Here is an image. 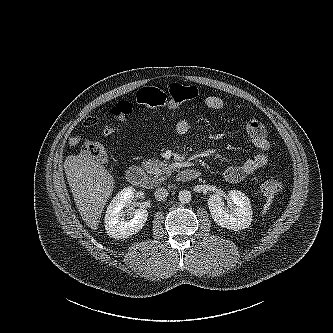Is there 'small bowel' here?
Returning <instances> with one entry per match:
<instances>
[{"mask_svg": "<svg viewBox=\"0 0 333 333\" xmlns=\"http://www.w3.org/2000/svg\"><path fill=\"white\" fill-rule=\"evenodd\" d=\"M203 104L206 108L214 111L222 110L225 106L224 100L215 95H210L204 98ZM98 120L97 116L89 117L85 122V126H92ZM190 121L186 118L180 119L175 126V133L177 135H185L190 130ZM246 133L251 139L253 146L256 149V154L244 160L240 164L230 165L224 171V177L229 182H239L247 176L255 173L263 168L268 162V151L270 149V142L267 136L265 126L258 120H250L246 124ZM116 130V126L109 122L102 130L103 136H109ZM80 140V135L75 134L70 138V144H77Z\"/></svg>", "mask_w": 333, "mask_h": 333, "instance_id": "1", "label": "small bowel"}]
</instances>
